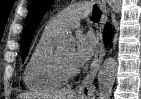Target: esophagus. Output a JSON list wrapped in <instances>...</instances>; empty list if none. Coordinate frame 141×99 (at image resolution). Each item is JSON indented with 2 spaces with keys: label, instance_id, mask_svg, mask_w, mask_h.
I'll list each match as a JSON object with an SVG mask.
<instances>
[{
  "label": "esophagus",
  "instance_id": "esophagus-1",
  "mask_svg": "<svg viewBox=\"0 0 141 99\" xmlns=\"http://www.w3.org/2000/svg\"><path fill=\"white\" fill-rule=\"evenodd\" d=\"M97 3L102 11V15H101V19L96 31L97 47L94 54V58L87 75L84 77L78 89L79 96L83 98H89L94 95V92H95L94 79L97 75V72L99 70V67L105 55L103 30H104L105 24L108 21L109 12H108L105 0H97Z\"/></svg>",
  "mask_w": 141,
  "mask_h": 99
}]
</instances>
